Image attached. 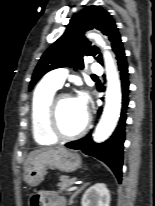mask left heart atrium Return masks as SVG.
<instances>
[{
    "mask_svg": "<svg viewBox=\"0 0 155 206\" xmlns=\"http://www.w3.org/2000/svg\"><path fill=\"white\" fill-rule=\"evenodd\" d=\"M76 101L83 112L86 113L88 106V98L84 93H81L76 98Z\"/></svg>",
    "mask_w": 155,
    "mask_h": 206,
    "instance_id": "left-heart-atrium-1",
    "label": "left heart atrium"
}]
</instances>
